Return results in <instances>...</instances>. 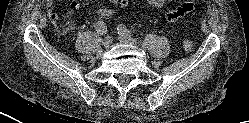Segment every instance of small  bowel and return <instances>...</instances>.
Returning <instances> with one entry per match:
<instances>
[{"label":"small bowel","mask_w":249,"mask_h":123,"mask_svg":"<svg viewBox=\"0 0 249 123\" xmlns=\"http://www.w3.org/2000/svg\"><path fill=\"white\" fill-rule=\"evenodd\" d=\"M148 4L153 7L162 8L164 6L165 0H146ZM54 0H45V6L47 11V17L51 23H56L59 19V15L52 8ZM109 2L113 5V8H101L97 10V15L102 18H106L111 16L114 13V9H124L128 6L129 0H109ZM194 5L191 2H185L181 4L179 7L170 10L166 14V19L169 22L177 21L178 19L184 17L190 11H192ZM80 9V3L74 0L69 8V15L73 16L78 13ZM100 22V21H98ZM97 22V23H98ZM96 23V24H97ZM96 26V25H95Z\"/></svg>","instance_id":"obj_1"}]
</instances>
